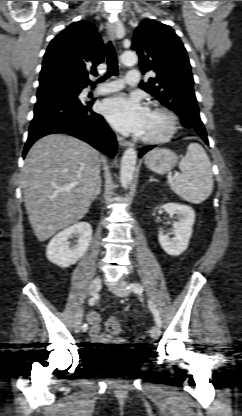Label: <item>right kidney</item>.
Instances as JSON below:
<instances>
[{"mask_svg":"<svg viewBox=\"0 0 242 416\" xmlns=\"http://www.w3.org/2000/svg\"><path fill=\"white\" fill-rule=\"evenodd\" d=\"M73 235H77L78 240L76 245L71 246L68 240ZM91 239V225L87 222L76 223L53 237L47 246V258L50 262L60 267H69L86 253Z\"/></svg>","mask_w":242,"mask_h":416,"instance_id":"obj_1","label":"right kidney"}]
</instances>
